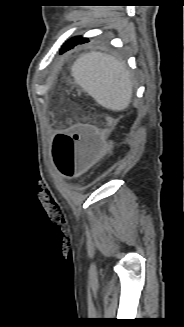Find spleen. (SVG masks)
I'll list each match as a JSON object with an SVG mask.
<instances>
[{
	"mask_svg": "<svg viewBox=\"0 0 184 327\" xmlns=\"http://www.w3.org/2000/svg\"><path fill=\"white\" fill-rule=\"evenodd\" d=\"M72 75L101 106L111 110L127 108L132 96V82L125 63L111 55L90 52L72 65Z\"/></svg>",
	"mask_w": 184,
	"mask_h": 327,
	"instance_id": "3e777b00",
	"label": "spleen"
}]
</instances>
